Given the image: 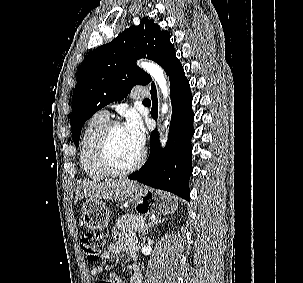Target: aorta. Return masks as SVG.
Returning <instances> with one entry per match:
<instances>
[{"mask_svg": "<svg viewBox=\"0 0 303 283\" xmlns=\"http://www.w3.org/2000/svg\"><path fill=\"white\" fill-rule=\"evenodd\" d=\"M139 65L146 72H148L151 75V77L156 81V83L158 84L161 90V93L163 94L164 99H167L169 97V88L167 85L164 70L159 65L153 62L142 61L139 63ZM160 112L162 117L168 112V105L166 103L162 104ZM167 125H168V121L166 120L164 122L163 128L167 127ZM160 136H161V140L163 141L165 138L162 132L160 133Z\"/></svg>", "mask_w": 303, "mask_h": 283, "instance_id": "aorta-1", "label": "aorta"}]
</instances>
